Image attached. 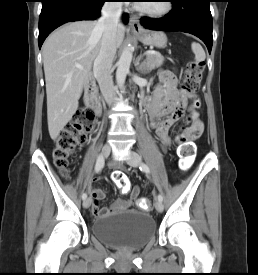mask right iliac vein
Here are the masks:
<instances>
[{"instance_id": "right-iliac-vein-1", "label": "right iliac vein", "mask_w": 258, "mask_h": 275, "mask_svg": "<svg viewBox=\"0 0 258 275\" xmlns=\"http://www.w3.org/2000/svg\"><path fill=\"white\" fill-rule=\"evenodd\" d=\"M110 152H111L110 145L108 143L104 144L103 147H102V151H101L102 156L104 158H106V157L109 156ZM90 205H91V199L90 198H87L83 201V207L84 208H88Z\"/></svg>"}]
</instances>
